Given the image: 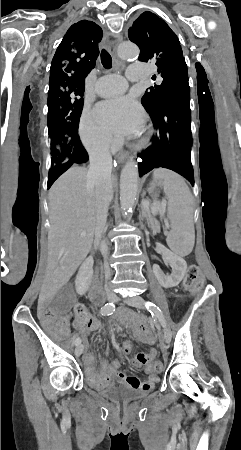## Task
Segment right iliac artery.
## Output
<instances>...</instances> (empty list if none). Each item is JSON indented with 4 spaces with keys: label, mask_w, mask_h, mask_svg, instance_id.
I'll use <instances>...</instances> for the list:
<instances>
[{
    "label": "right iliac artery",
    "mask_w": 241,
    "mask_h": 450,
    "mask_svg": "<svg viewBox=\"0 0 241 450\" xmlns=\"http://www.w3.org/2000/svg\"><path fill=\"white\" fill-rule=\"evenodd\" d=\"M114 311H115V305L113 303H107L101 308L100 314L103 316H108V315L113 314ZM80 343H81L80 337L76 338L75 345L78 346Z\"/></svg>",
    "instance_id": "82829eb1"
}]
</instances>
